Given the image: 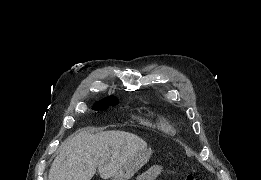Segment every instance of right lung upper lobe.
I'll list each match as a JSON object with an SVG mask.
<instances>
[{"mask_svg": "<svg viewBox=\"0 0 261 180\" xmlns=\"http://www.w3.org/2000/svg\"><path fill=\"white\" fill-rule=\"evenodd\" d=\"M107 99H115L114 97H108ZM106 100V99H105Z\"/></svg>", "mask_w": 261, "mask_h": 180, "instance_id": "cb5924a9", "label": "right lung upper lobe"}]
</instances>
